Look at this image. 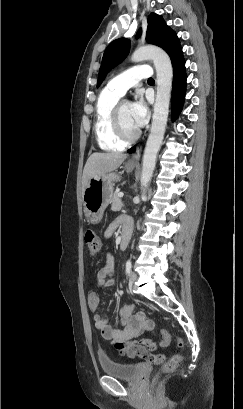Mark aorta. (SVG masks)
<instances>
[{"instance_id":"1","label":"aorta","mask_w":243,"mask_h":409,"mask_svg":"<svg viewBox=\"0 0 243 409\" xmlns=\"http://www.w3.org/2000/svg\"><path fill=\"white\" fill-rule=\"evenodd\" d=\"M131 60L133 62L152 60L157 73V93L151 131L146 143L142 161L141 198L144 199L146 197V187L152 178L157 154L161 147L167 125L173 69L168 54L156 46H144L136 49L132 54Z\"/></svg>"}]
</instances>
